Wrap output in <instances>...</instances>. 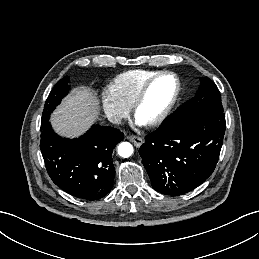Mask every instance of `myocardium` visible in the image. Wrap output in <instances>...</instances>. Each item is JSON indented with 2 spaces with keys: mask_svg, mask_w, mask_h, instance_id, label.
<instances>
[{
  "mask_svg": "<svg viewBox=\"0 0 259 259\" xmlns=\"http://www.w3.org/2000/svg\"><path fill=\"white\" fill-rule=\"evenodd\" d=\"M172 77L175 81V92L174 95L172 97V99L170 100V102L168 103V105L166 106V108L163 110V112L156 117L155 119L144 123L146 126L148 127H155L160 125L161 123H163L166 118L169 116V114L171 113V111L173 110L175 104L177 103V100L179 98L180 95V91H181V83L179 80V77L177 76V74H175L172 71H161L156 73L154 76H152L151 78H149L141 87V89L139 90L138 94L136 95L134 102L131 106L132 109V114L134 116V118L137 119V111L139 109V107L141 106V104L143 103L147 92L149 90V88L151 87V85L158 79L162 78V77Z\"/></svg>",
  "mask_w": 259,
  "mask_h": 259,
  "instance_id": "myocardium-1",
  "label": "myocardium"
}]
</instances>
